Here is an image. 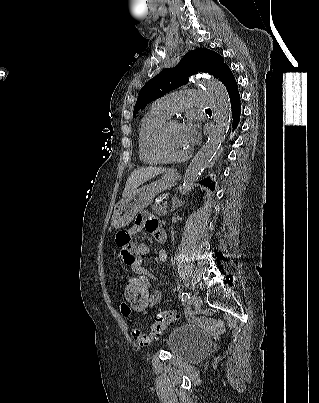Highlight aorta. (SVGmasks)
<instances>
[{
    "label": "aorta",
    "instance_id": "762f6f07",
    "mask_svg": "<svg viewBox=\"0 0 319 403\" xmlns=\"http://www.w3.org/2000/svg\"><path fill=\"white\" fill-rule=\"evenodd\" d=\"M209 93L213 102L214 124L208 136V140L193 158L184 174L183 187L188 189L207 167L217 150L225 140L230 126L231 105L224 85L214 77H205L197 80Z\"/></svg>",
    "mask_w": 319,
    "mask_h": 403
}]
</instances>
